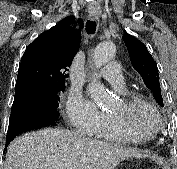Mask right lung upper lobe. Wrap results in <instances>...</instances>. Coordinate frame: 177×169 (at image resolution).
Wrapping results in <instances>:
<instances>
[{
	"label": "right lung upper lobe",
	"instance_id": "right-lung-upper-lobe-1",
	"mask_svg": "<svg viewBox=\"0 0 177 169\" xmlns=\"http://www.w3.org/2000/svg\"><path fill=\"white\" fill-rule=\"evenodd\" d=\"M43 32L27 48L19 66L15 95L30 87L50 89L65 86L67 70L80 46L81 35L68 21Z\"/></svg>",
	"mask_w": 177,
	"mask_h": 169
}]
</instances>
